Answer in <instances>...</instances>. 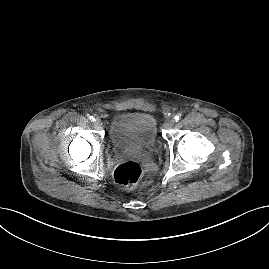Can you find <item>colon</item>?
<instances>
[{
  "mask_svg": "<svg viewBox=\"0 0 269 269\" xmlns=\"http://www.w3.org/2000/svg\"><path fill=\"white\" fill-rule=\"evenodd\" d=\"M114 180L120 186L133 189L137 185H147L151 182L142 166L135 161H126L118 164L114 170Z\"/></svg>",
  "mask_w": 269,
  "mask_h": 269,
  "instance_id": "colon-1",
  "label": "colon"
}]
</instances>
